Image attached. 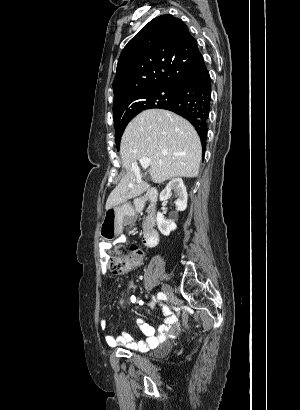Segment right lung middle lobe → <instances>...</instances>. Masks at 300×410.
I'll return each mask as SVG.
<instances>
[{
  "mask_svg": "<svg viewBox=\"0 0 300 410\" xmlns=\"http://www.w3.org/2000/svg\"><path fill=\"white\" fill-rule=\"evenodd\" d=\"M178 87H166L150 91H145L136 96L133 104L134 113L131 115L120 116L114 118L116 137L115 141L119 148L121 136L127 124L138 113L145 109L160 108L164 104H168L178 92Z\"/></svg>",
  "mask_w": 300,
  "mask_h": 410,
  "instance_id": "1",
  "label": "right lung middle lobe"
}]
</instances>
